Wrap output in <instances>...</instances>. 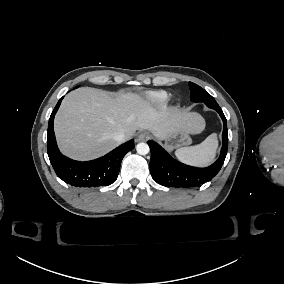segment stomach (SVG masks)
Masks as SVG:
<instances>
[{"label": "stomach", "mask_w": 284, "mask_h": 284, "mask_svg": "<svg viewBox=\"0 0 284 284\" xmlns=\"http://www.w3.org/2000/svg\"><path fill=\"white\" fill-rule=\"evenodd\" d=\"M164 140L169 149L191 143V139L183 127H177L170 131Z\"/></svg>", "instance_id": "obj_1"}]
</instances>
